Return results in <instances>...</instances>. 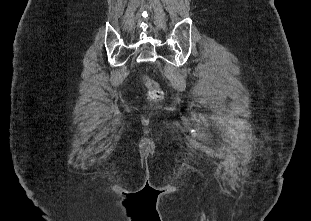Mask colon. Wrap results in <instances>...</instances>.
I'll return each instance as SVG.
<instances>
[{
	"label": "colon",
	"instance_id": "obj_1",
	"mask_svg": "<svg viewBox=\"0 0 311 221\" xmlns=\"http://www.w3.org/2000/svg\"><path fill=\"white\" fill-rule=\"evenodd\" d=\"M144 86L149 91V99L152 101H158L163 97V92L156 82L151 81L150 79H144Z\"/></svg>",
	"mask_w": 311,
	"mask_h": 221
}]
</instances>
